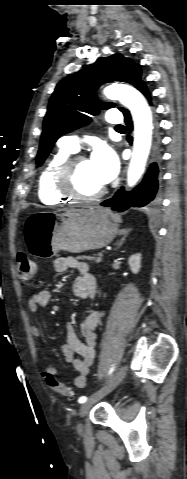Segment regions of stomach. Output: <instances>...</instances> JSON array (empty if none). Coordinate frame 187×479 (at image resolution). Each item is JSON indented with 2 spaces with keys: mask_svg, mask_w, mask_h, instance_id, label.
Instances as JSON below:
<instances>
[{
  "mask_svg": "<svg viewBox=\"0 0 187 479\" xmlns=\"http://www.w3.org/2000/svg\"><path fill=\"white\" fill-rule=\"evenodd\" d=\"M118 233L109 210L101 207L38 211L27 217L24 238L29 253L48 259L60 250L78 253L108 245Z\"/></svg>",
  "mask_w": 187,
  "mask_h": 479,
  "instance_id": "obj_1",
  "label": "stomach"
}]
</instances>
